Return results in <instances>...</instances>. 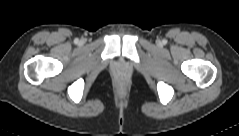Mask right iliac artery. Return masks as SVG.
<instances>
[{
    "label": "right iliac artery",
    "instance_id": "right-iliac-artery-1",
    "mask_svg": "<svg viewBox=\"0 0 239 136\" xmlns=\"http://www.w3.org/2000/svg\"><path fill=\"white\" fill-rule=\"evenodd\" d=\"M74 42L77 44V43L79 42V40L76 38V39L74 40Z\"/></svg>",
    "mask_w": 239,
    "mask_h": 136
}]
</instances>
